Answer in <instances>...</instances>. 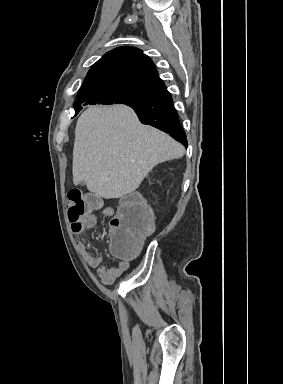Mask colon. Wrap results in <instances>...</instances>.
I'll return each mask as SVG.
<instances>
[{"mask_svg": "<svg viewBox=\"0 0 283 384\" xmlns=\"http://www.w3.org/2000/svg\"><path fill=\"white\" fill-rule=\"evenodd\" d=\"M102 201L92 194L78 189L68 192V218L72 226L81 225L90 211L98 209ZM154 227L152 212L141 196L131 193L120 201L116 214L110 221V248L112 254L122 260L133 259L140 251L144 236Z\"/></svg>", "mask_w": 283, "mask_h": 384, "instance_id": "colon-1", "label": "colon"}]
</instances>
